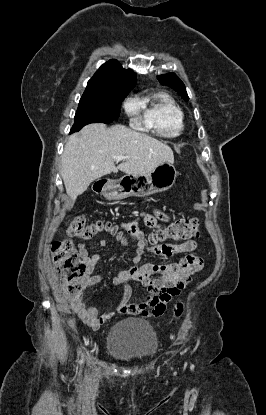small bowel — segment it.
Wrapping results in <instances>:
<instances>
[{"label":"small bowel","instance_id":"1","mask_svg":"<svg viewBox=\"0 0 266 415\" xmlns=\"http://www.w3.org/2000/svg\"><path fill=\"white\" fill-rule=\"evenodd\" d=\"M167 220V216L158 209H153L151 213L142 212L133 221L122 224V228L127 231L136 244L135 255L130 259L133 266L121 272L112 279L115 285H122V292L119 299L108 305L103 311L97 306L88 305L85 301L87 291L98 284L102 276L95 273V268L99 262L98 254H89L83 243L78 244L80 255L87 264V274L81 281V288L78 294L72 298V307L82 321L93 330L99 329L103 324L110 320L116 313L137 314L147 313V309H153L155 314H161L165 305L191 282L194 274L203 268L201 257L193 254L198 243L195 240H187L179 244H155L148 246L144 234L139 228L142 221L145 226L159 228L161 223ZM100 247L105 248L108 242L100 240ZM146 253H152L163 258H170L175 254H186L178 262L166 263H143ZM140 282L147 290V297L137 304L129 303L132 294L131 284Z\"/></svg>","mask_w":266,"mask_h":415}]
</instances>
